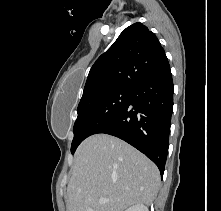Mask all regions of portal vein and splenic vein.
I'll use <instances>...</instances> for the list:
<instances>
[{"instance_id": "1", "label": "portal vein and splenic vein", "mask_w": 221, "mask_h": 211, "mask_svg": "<svg viewBox=\"0 0 221 211\" xmlns=\"http://www.w3.org/2000/svg\"><path fill=\"white\" fill-rule=\"evenodd\" d=\"M109 201V199H106V198H100L99 199V203L100 204H104V203H106V202H108Z\"/></svg>"}]
</instances>
